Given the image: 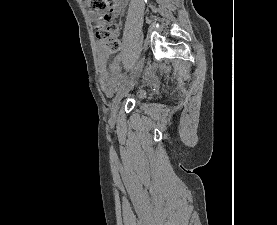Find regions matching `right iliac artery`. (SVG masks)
Wrapping results in <instances>:
<instances>
[{"label": "right iliac artery", "mask_w": 277, "mask_h": 225, "mask_svg": "<svg viewBox=\"0 0 277 225\" xmlns=\"http://www.w3.org/2000/svg\"><path fill=\"white\" fill-rule=\"evenodd\" d=\"M136 68H132L130 73L122 80L121 87L126 86L134 77Z\"/></svg>", "instance_id": "1"}]
</instances>
